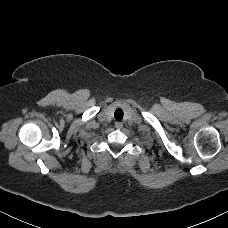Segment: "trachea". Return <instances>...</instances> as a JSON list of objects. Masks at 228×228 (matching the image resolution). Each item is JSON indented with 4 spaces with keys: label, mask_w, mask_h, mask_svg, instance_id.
Returning a JSON list of instances; mask_svg holds the SVG:
<instances>
[{
    "label": "trachea",
    "mask_w": 228,
    "mask_h": 228,
    "mask_svg": "<svg viewBox=\"0 0 228 228\" xmlns=\"http://www.w3.org/2000/svg\"><path fill=\"white\" fill-rule=\"evenodd\" d=\"M123 111L121 109H117L114 113L115 120L120 121L123 119Z\"/></svg>",
    "instance_id": "obj_1"
}]
</instances>
